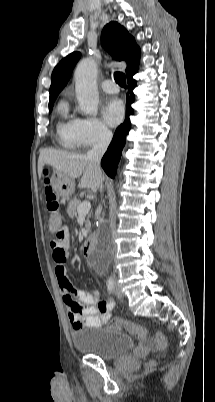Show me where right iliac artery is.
Wrapping results in <instances>:
<instances>
[{"mask_svg":"<svg viewBox=\"0 0 215 402\" xmlns=\"http://www.w3.org/2000/svg\"><path fill=\"white\" fill-rule=\"evenodd\" d=\"M106 284H107V289H108L109 293L112 294L114 292V281H113V279L109 278L107 280Z\"/></svg>","mask_w":215,"mask_h":402,"instance_id":"obj_1","label":"right iliac artery"}]
</instances>
